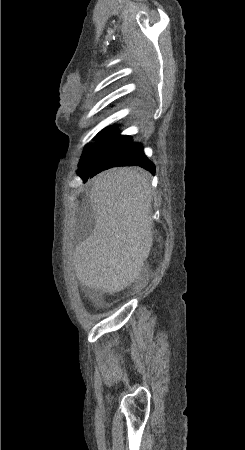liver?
<instances>
[{
	"instance_id": "liver-1",
	"label": "liver",
	"mask_w": 245,
	"mask_h": 450,
	"mask_svg": "<svg viewBox=\"0 0 245 450\" xmlns=\"http://www.w3.org/2000/svg\"><path fill=\"white\" fill-rule=\"evenodd\" d=\"M92 234L73 253L78 280L116 293L139 275L152 246V196L147 174L116 167L92 179Z\"/></svg>"
}]
</instances>
